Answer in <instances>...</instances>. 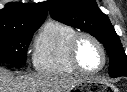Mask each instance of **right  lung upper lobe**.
I'll list each match as a JSON object with an SVG mask.
<instances>
[{
  "instance_id": "obj_1",
  "label": "right lung upper lobe",
  "mask_w": 127,
  "mask_h": 92,
  "mask_svg": "<svg viewBox=\"0 0 127 92\" xmlns=\"http://www.w3.org/2000/svg\"><path fill=\"white\" fill-rule=\"evenodd\" d=\"M48 13V4L9 3L0 10V32L41 26Z\"/></svg>"
}]
</instances>
